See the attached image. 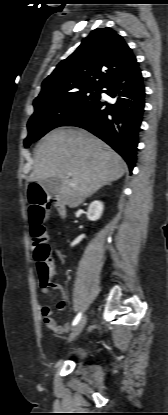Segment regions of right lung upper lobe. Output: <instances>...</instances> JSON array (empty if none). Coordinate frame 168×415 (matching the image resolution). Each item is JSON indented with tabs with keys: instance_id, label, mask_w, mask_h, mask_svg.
Here are the masks:
<instances>
[{
	"instance_id": "1",
	"label": "right lung upper lobe",
	"mask_w": 168,
	"mask_h": 415,
	"mask_svg": "<svg viewBox=\"0 0 168 415\" xmlns=\"http://www.w3.org/2000/svg\"><path fill=\"white\" fill-rule=\"evenodd\" d=\"M135 64V56L120 35L110 28H97L43 81L33 105L84 89H101Z\"/></svg>"
}]
</instances>
